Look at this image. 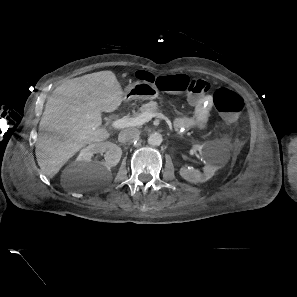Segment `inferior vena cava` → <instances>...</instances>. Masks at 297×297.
<instances>
[{
    "mask_svg": "<svg viewBox=\"0 0 297 297\" xmlns=\"http://www.w3.org/2000/svg\"><path fill=\"white\" fill-rule=\"evenodd\" d=\"M140 136V131L137 128H127L119 133L118 139L121 142L131 143Z\"/></svg>",
    "mask_w": 297,
    "mask_h": 297,
    "instance_id": "602c4592",
    "label": "inferior vena cava"
}]
</instances>
